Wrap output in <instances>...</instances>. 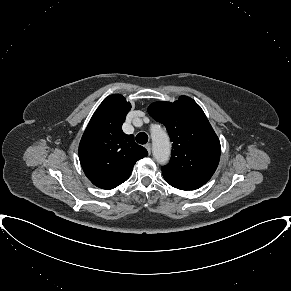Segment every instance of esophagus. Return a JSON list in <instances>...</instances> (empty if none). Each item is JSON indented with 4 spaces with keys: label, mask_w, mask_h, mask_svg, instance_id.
Masks as SVG:
<instances>
[{
    "label": "esophagus",
    "mask_w": 291,
    "mask_h": 291,
    "mask_svg": "<svg viewBox=\"0 0 291 291\" xmlns=\"http://www.w3.org/2000/svg\"><path fill=\"white\" fill-rule=\"evenodd\" d=\"M145 148L147 149L148 153L151 154V144L150 143H147L145 145Z\"/></svg>",
    "instance_id": "esophagus-1"
}]
</instances>
